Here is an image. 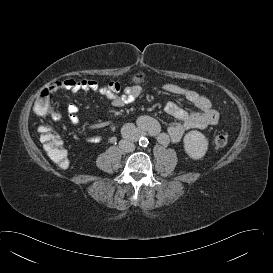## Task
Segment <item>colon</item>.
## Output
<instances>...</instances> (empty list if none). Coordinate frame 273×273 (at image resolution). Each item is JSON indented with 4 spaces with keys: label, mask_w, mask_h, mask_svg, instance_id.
<instances>
[{
    "label": "colon",
    "mask_w": 273,
    "mask_h": 273,
    "mask_svg": "<svg viewBox=\"0 0 273 273\" xmlns=\"http://www.w3.org/2000/svg\"><path fill=\"white\" fill-rule=\"evenodd\" d=\"M144 75L141 72L135 73L132 78V83H140L143 81ZM61 86L60 83H55L45 88L35 105V110L39 115H51L52 117H56V112L54 111L50 101L49 94L53 92L56 88ZM40 140L46 150L47 154L53 160L57 161L62 168H65L68 165L66 150L63 148V143L59 135L54 133L49 126L41 127L40 130ZM214 143L217 147H225L228 143V136L225 133H218L214 137Z\"/></svg>",
    "instance_id": "5ec220e1"
}]
</instances>
